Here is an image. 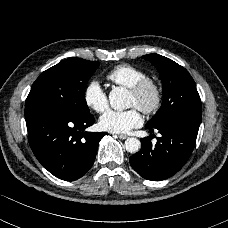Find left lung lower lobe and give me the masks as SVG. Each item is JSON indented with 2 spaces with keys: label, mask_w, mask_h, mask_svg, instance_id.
Masks as SVG:
<instances>
[{
  "label": "left lung lower lobe",
  "mask_w": 228,
  "mask_h": 228,
  "mask_svg": "<svg viewBox=\"0 0 228 228\" xmlns=\"http://www.w3.org/2000/svg\"><path fill=\"white\" fill-rule=\"evenodd\" d=\"M200 122L189 118H172L149 128L162 135L152 145L151 138L140 139L141 150L129 158L133 169L151 181L167 179L177 173L189 159L195 146ZM152 136V134L150 135Z\"/></svg>",
  "instance_id": "1"
}]
</instances>
